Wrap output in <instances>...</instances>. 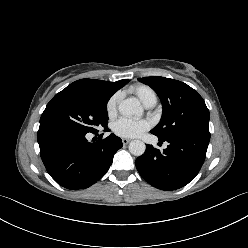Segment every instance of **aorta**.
<instances>
[{"label": "aorta", "instance_id": "1", "mask_svg": "<svg viewBox=\"0 0 248 248\" xmlns=\"http://www.w3.org/2000/svg\"><path fill=\"white\" fill-rule=\"evenodd\" d=\"M118 110L123 116L127 117L142 114V108L140 106V103L135 98H127L120 102ZM145 150L146 145L143 141L133 140L129 144V151L135 156H141L142 154H144Z\"/></svg>", "mask_w": 248, "mask_h": 248}]
</instances>
